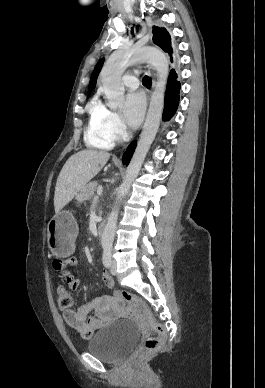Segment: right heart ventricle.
Instances as JSON below:
<instances>
[{"label": "right heart ventricle", "mask_w": 265, "mask_h": 388, "mask_svg": "<svg viewBox=\"0 0 265 388\" xmlns=\"http://www.w3.org/2000/svg\"><path fill=\"white\" fill-rule=\"evenodd\" d=\"M103 108L104 106L97 98L90 104V120L85 139L92 146L101 149H110L114 146L115 140L103 128Z\"/></svg>", "instance_id": "e07e8e85"}]
</instances>
